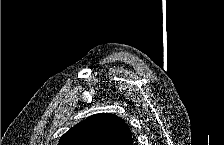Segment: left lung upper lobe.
I'll return each instance as SVG.
<instances>
[{"label":"left lung upper lobe","instance_id":"1","mask_svg":"<svg viewBox=\"0 0 224 145\" xmlns=\"http://www.w3.org/2000/svg\"><path fill=\"white\" fill-rule=\"evenodd\" d=\"M127 124L109 113L92 115L66 132L59 145H132Z\"/></svg>","mask_w":224,"mask_h":145}]
</instances>
